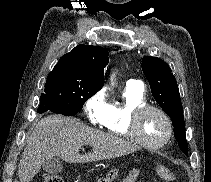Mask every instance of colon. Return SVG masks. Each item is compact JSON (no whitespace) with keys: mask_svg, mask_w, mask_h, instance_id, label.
Here are the masks:
<instances>
[{"mask_svg":"<svg viewBox=\"0 0 211 182\" xmlns=\"http://www.w3.org/2000/svg\"><path fill=\"white\" fill-rule=\"evenodd\" d=\"M158 175L168 181L173 179L172 173L165 167L158 166L156 168ZM118 175L117 170L109 171L105 176H102L96 180V182H112ZM44 182H63L62 178L56 174L47 173L44 176Z\"/></svg>","mask_w":211,"mask_h":182,"instance_id":"1","label":"colon"}]
</instances>
